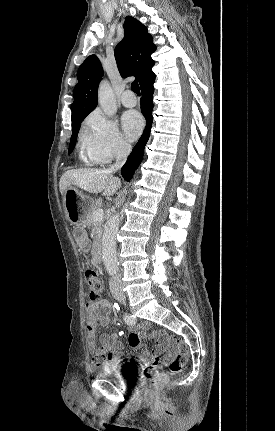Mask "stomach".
<instances>
[{
	"label": "stomach",
	"instance_id": "1",
	"mask_svg": "<svg viewBox=\"0 0 275 431\" xmlns=\"http://www.w3.org/2000/svg\"><path fill=\"white\" fill-rule=\"evenodd\" d=\"M92 203L91 198L75 187L67 188L63 195L66 217L74 226H82L86 222Z\"/></svg>",
	"mask_w": 275,
	"mask_h": 431
}]
</instances>
